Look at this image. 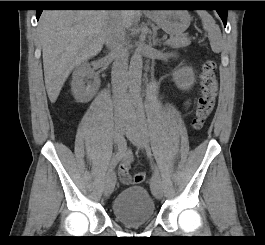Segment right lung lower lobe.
I'll list each match as a JSON object with an SVG mask.
<instances>
[{
  "label": "right lung lower lobe",
  "mask_w": 265,
  "mask_h": 245,
  "mask_svg": "<svg viewBox=\"0 0 265 245\" xmlns=\"http://www.w3.org/2000/svg\"><path fill=\"white\" fill-rule=\"evenodd\" d=\"M50 6H60V7H120L125 6L123 1H80V3H51ZM43 9L36 10L37 20L39 19Z\"/></svg>",
  "instance_id": "98d812e1"
}]
</instances>
